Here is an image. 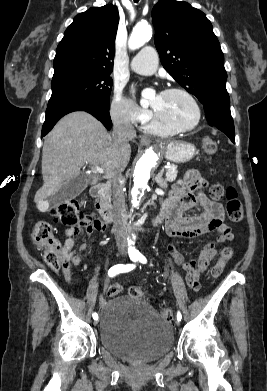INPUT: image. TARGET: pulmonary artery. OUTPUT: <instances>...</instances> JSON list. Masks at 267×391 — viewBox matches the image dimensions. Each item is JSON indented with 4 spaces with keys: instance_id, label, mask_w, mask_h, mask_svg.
I'll list each match as a JSON object with an SVG mask.
<instances>
[{
    "instance_id": "pulmonary-artery-1",
    "label": "pulmonary artery",
    "mask_w": 267,
    "mask_h": 391,
    "mask_svg": "<svg viewBox=\"0 0 267 391\" xmlns=\"http://www.w3.org/2000/svg\"><path fill=\"white\" fill-rule=\"evenodd\" d=\"M158 67V54L157 51L151 47L146 46L141 49L131 60L130 68L132 71L142 74L150 75Z\"/></svg>"
}]
</instances>
